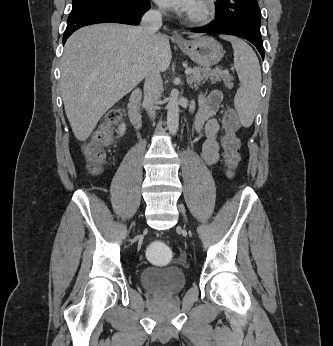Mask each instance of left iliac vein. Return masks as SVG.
I'll return each instance as SVG.
<instances>
[{"instance_id": "obj_1", "label": "left iliac vein", "mask_w": 333, "mask_h": 346, "mask_svg": "<svg viewBox=\"0 0 333 346\" xmlns=\"http://www.w3.org/2000/svg\"><path fill=\"white\" fill-rule=\"evenodd\" d=\"M178 207H179V210H180V212L182 213V215L185 216V209H184V207L181 206V205H179Z\"/></svg>"}]
</instances>
